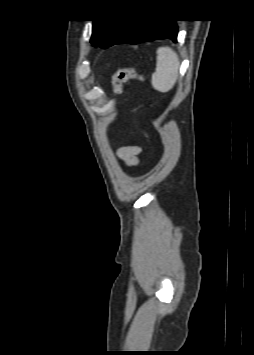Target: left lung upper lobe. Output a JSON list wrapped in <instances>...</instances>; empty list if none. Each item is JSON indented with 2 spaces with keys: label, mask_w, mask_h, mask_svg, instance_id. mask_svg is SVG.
<instances>
[{
  "label": "left lung upper lobe",
  "mask_w": 254,
  "mask_h": 355,
  "mask_svg": "<svg viewBox=\"0 0 254 355\" xmlns=\"http://www.w3.org/2000/svg\"><path fill=\"white\" fill-rule=\"evenodd\" d=\"M128 22L129 19L94 20L90 42L104 49L114 45Z\"/></svg>",
  "instance_id": "left-lung-upper-lobe-1"
}]
</instances>
